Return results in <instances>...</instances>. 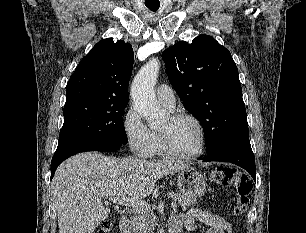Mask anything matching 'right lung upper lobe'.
Masks as SVG:
<instances>
[{"instance_id":"1","label":"right lung upper lobe","mask_w":306,"mask_h":233,"mask_svg":"<svg viewBox=\"0 0 306 233\" xmlns=\"http://www.w3.org/2000/svg\"><path fill=\"white\" fill-rule=\"evenodd\" d=\"M133 58L132 46L122 40L98 42L70 77L66 103L79 99L128 102Z\"/></svg>"}]
</instances>
